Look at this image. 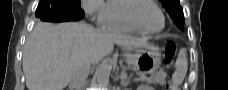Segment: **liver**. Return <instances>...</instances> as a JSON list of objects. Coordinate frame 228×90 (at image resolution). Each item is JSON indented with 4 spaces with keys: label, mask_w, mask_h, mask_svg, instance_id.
<instances>
[{
    "label": "liver",
    "mask_w": 228,
    "mask_h": 90,
    "mask_svg": "<svg viewBox=\"0 0 228 90\" xmlns=\"http://www.w3.org/2000/svg\"><path fill=\"white\" fill-rule=\"evenodd\" d=\"M147 41V37L106 33L84 22H39L23 50L26 86L28 90H64L81 62L97 64L114 44L135 50Z\"/></svg>",
    "instance_id": "6515ba94"
}]
</instances>
